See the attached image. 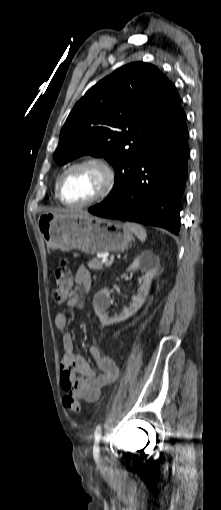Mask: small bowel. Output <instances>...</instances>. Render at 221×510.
Segmentation results:
<instances>
[{"instance_id":"small-bowel-1","label":"small bowel","mask_w":221,"mask_h":510,"mask_svg":"<svg viewBox=\"0 0 221 510\" xmlns=\"http://www.w3.org/2000/svg\"><path fill=\"white\" fill-rule=\"evenodd\" d=\"M75 282L79 294L70 299L67 304L70 307L81 308L82 294L88 292L92 285L91 274L85 266L80 265L77 268ZM68 322L69 319L65 313L59 312L55 316V325L59 329L67 327ZM63 346L64 355L60 365L62 389L67 395L87 403L98 400L102 389L118 377V366L110 357L102 355L97 346L92 345L89 347V352L100 370V373H97L81 355L75 352V339L71 333L64 334Z\"/></svg>"}]
</instances>
